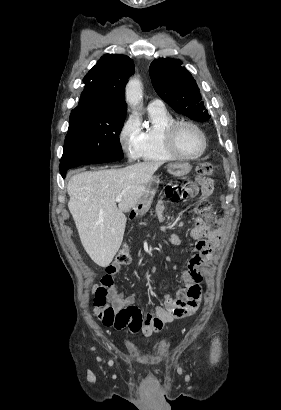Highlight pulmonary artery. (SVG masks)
I'll list each match as a JSON object with an SVG mask.
<instances>
[{"mask_svg": "<svg viewBox=\"0 0 281 410\" xmlns=\"http://www.w3.org/2000/svg\"><path fill=\"white\" fill-rule=\"evenodd\" d=\"M164 104L161 100L159 99H153L149 102L148 104V109H153V108H163Z\"/></svg>", "mask_w": 281, "mask_h": 410, "instance_id": "e3ab8cb5", "label": "pulmonary artery"}]
</instances>
